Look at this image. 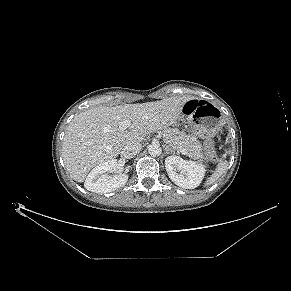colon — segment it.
Returning a JSON list of instances; mask_svg holds the SVG:
<instances>
[{
	"mask_svg": "<svg viewBox=\"0 0 291 291\" xmlns=\"http://www.w3.org/2000/svg\"><path fill=\"white\" fill-rule=\"evenodd\" d=\"M204 153L208 158L215 159V146L212 140H208L204 144Z\"/></svg>",
	"mask_w": 291,
	"mask_h": 291,
	"instance_id": "colon-1",
	"label": "colon"
}]
</instances>
